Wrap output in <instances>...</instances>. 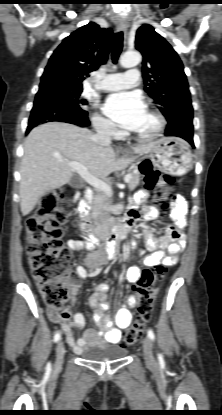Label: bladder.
<instances>
[{
    "label": "bladder",
    "mask_w": 222,
    "mask_h": 415,
    "mask_svg": "<svg viewBox=\"0 0 222 415\" xmlns=\"http://www.w3.org/2000/svg\"><path fill=\"white\" fill-rule=\"evenodd\" d=\"M128 354L126 348L117 345L90 347L81 352V356L90 361L116 360Z\"/></svg>",
    "instance_id": "1"
}]
</instances>
